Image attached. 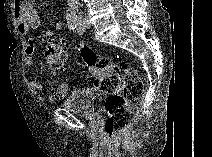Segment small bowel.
I'll return each mask as SVG.
<instances>
[{
	"label": "small bowel",
	"mask_w": 212,
	"mask_h": 157,
	"mask_svg": "<svg viewBox=\"0 0 212 157\" xmlns=\"http://www.w3.org/2000/svg\"><path fill=\"white\" fill-rule=\"evenodd\" d=\"M13 14L17 23V29L19 33L26 37L25 40V65L31 67L34 65V52H35V40L30 33L36 30L40 24L41 19L34 7L32 1L17 0L13 5ZM63 28V23L61 21H56L54 24V29L59 31ZM54 31L52 29H46L44 31V36L47 38L52 37ZM28 84L31 88L40 90L43 88V84L40 81L29 80ZM68 87L66 84H61L57 87L55 93H49L46 96L48 102H55L58 98H63L66 96Z\"/></svg>",
	"instance_id": "obj_1"
}]
</instances>
